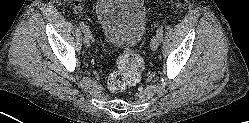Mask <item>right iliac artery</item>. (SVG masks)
Masks as SVG:
<instances>
[{
  "label": "right iliac artery",
  "mask_w": 249,
  "mask_h": 123,
  "mask_svg": "<svg viewBox=\"0 0 249 123\" xmlns=\"http://www.w3.org/2000/svg\"><path fill=\"white\" fill-rule=\"evenodd\" d=\"M80 29H81L84 33L90 34V31H89L88 26H86V24H84L83 22L80 23ZM90 37H91V35H90Z\"/></svg>",
  "instance_id": "1"
}]
</instances>
